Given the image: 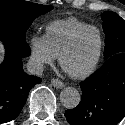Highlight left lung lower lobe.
I'll list each match as a JSON object with an SVG mask.
<instances>
[{
	"label": "left lung lower lobe",
	"instance_id": "1",
	"mask_svg": "<svg viewBox=\"0 0 125 125\" xmlns=\"http://www.w3.org/2000/svg\"><path fill=\"white\" fill-rule=\"evenodd\" d=\"M82 100L65 111L71 125H116L125 117V53L107 59L81 84Z\"/></svg>",
	"mask_w": 125,
	"mask_h": 125
}]
</instances>
